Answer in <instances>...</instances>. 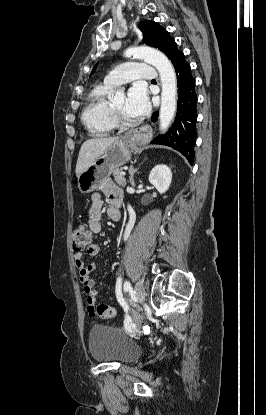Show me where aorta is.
Instances as JSON below:
<instances>
[{
    "mask_svg": "<svg viewBox=\"0 0 266 415\" xmlns=\"http://www.w3.org/2000/svg\"><path fill=\"white\" fill-rule=\"evenodd\" d=\"M125 55L129 58L143 59L158 70L162 85L159 112L160 130L163 133L166 132L177 108V81L171 62L160 51L144 46L130 48Z\"/></svg>",
    "mask_w": 266,
    "mask_h": 415,
    "instance_id": "aorta-1",
    "label": "aorta"
}]
</instances>
